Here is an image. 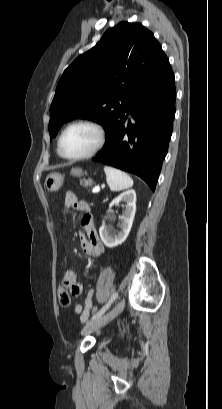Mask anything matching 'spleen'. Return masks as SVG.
<instances>
[{"instance_id": "spleen-1", "label": "spleen", "mask_w": 222, "mask_h": 409, "mask_svg": "<svg viewBox=\"0 0 222 409\" xmlns=\"http://www.w3.org/2000/svg\"><path fill=\"white\" fill-rule=\"evenodd\" d=\"M107 184L111 191L117 192L133 186L132 178L125 172L113 167L105 166Z\"/></svg>"}]
</instances>
